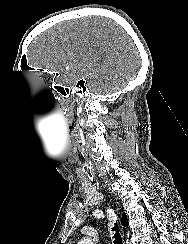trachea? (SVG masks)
Wrapping results in <instances>:
<instances>
[{"label":"trachea","instance_id":"obj_1","mask_svg":"<svg viewBox=\"0 0 188 244\" xmlns=\"http://www.w3.org/2000/svg\"><path fill=\"white\" fill-rule=\"evenodd\" d=\"M112 232H115V234H114V238H115L114 243L115 244H123L122 243L121 235H120V233L118 231V225H117V223H115L114 226L112 227Z\"/></svg>","mask_w":188,"mask_h":244}]
</instances>
